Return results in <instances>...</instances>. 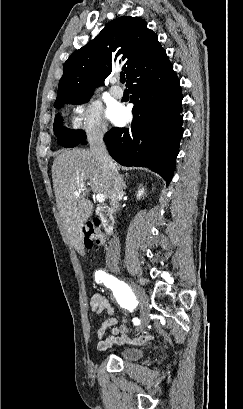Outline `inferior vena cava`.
Masks as SVG:
<instances>
[{
  "instance_id": "inferior-vena-cava-1",
  "label": "inferior vena cava",
  "mask_w": 243,
  "mask_h": 409,
  "mask_svg": "<svg viewBox=\"0 0 243 409\" xmlns=\"http://www.w3.org/2000/svg\"><path fill=\"white\" fill-rule=\"evenodd\" d=\"M104 131L95 133L90 139V153L99 161L105 172L110 190V206L116 216L120 207V198L123 196L121 178L112 158L110 157L103 140ZM120 256L119 239L114 236L109 243L108 260L113 266H117Z\"/></svg>"
}]
</instances>
